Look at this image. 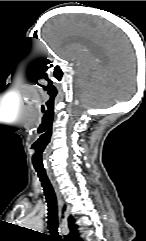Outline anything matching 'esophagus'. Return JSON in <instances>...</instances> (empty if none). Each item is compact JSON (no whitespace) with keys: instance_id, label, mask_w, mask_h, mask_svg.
<instances>
[{"instance_id":"1","label":"esophagus","mask_w":146,"mask_h":241,"mask_svg":"<svg viewBox=\"0 0 146 241\" xmlns=\"http://www.w3.org/2000/svg\"><path fill=\"white\" fill-rule=\"evenodd\" d=\"M48 176H49V179L51 181V184L54 188V191H55V194H56V197H57V200H58V205H59V210L61 211V208L63 206V200H62V196H61V193H60V190L58 188V185L56 183V181L54 180V178L52 177L51 173H48Z\"/></svg>"}]
</instances>
